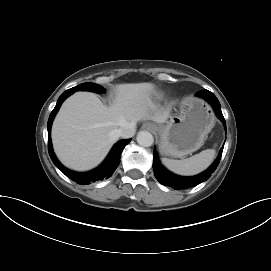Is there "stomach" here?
I'll use <instances>...</instances> for the list:
<instances>
[{
    "instance_id": "0dacf381",
    "label": "stomach",
    "mask_w": 271,
    "mask_h": 271,
    "mask_svg": "<svg viewBox=\"0 0 271 271\" xmlns=\"http://www.w3.org/2000/svg\"><path fill=\"white\" fill-rule=\"evenodd\" d=\"M214 124V114L204 100L191 96L185 98L179 113L157 126L160 152L175 158L191 155L204 144Z\"/></svg>"
}]
</instances>
